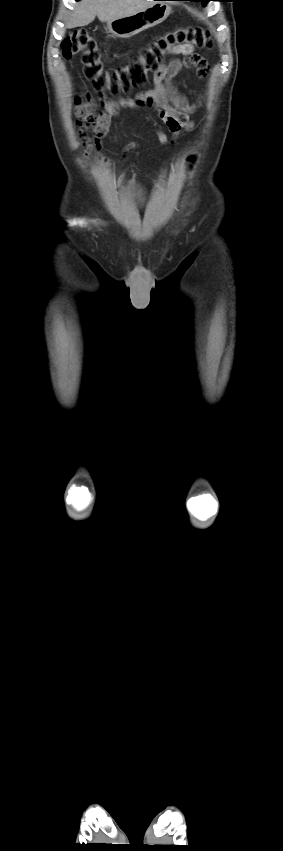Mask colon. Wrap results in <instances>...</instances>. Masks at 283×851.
I'll use <instances>...</instances> for the list:
<instances>
[{
    "label": "colon",
    "instance_id": "obj_1",
    "mask_svg": "<svg viewBox=\"0 0 283 851\" xmlns=\"http://www.w3.org/2000/svg\"><path fill=\"white\" fill-rule=\"evenodd\" d=\"M191 45L199 48L212 46L210 33L201 28L176 27L154 37L126 67L107 70L96 39L85 30H77L62 42V54L69 59L81 54L84 74L96 92L107 89L111 93L128 91L146 82L147 72H156L174 47Z\"/></svg>",
    "mask_w": 283,
    "mask_h": 851
}]
</instances>
